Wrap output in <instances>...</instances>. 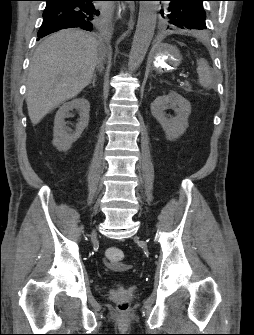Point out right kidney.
<instances>
[{"label": "right kidney", "instance_id": "right-kidney-1", "mask_svg": "<svg viewBox=\"0 0 254 335\" xmlns=\"http://www.w3.org/2000/svg\"><path fill=\"white\" fill-rule=\"evenodd\" d=\"M76 109L79 113V120L76 124V130L72 132L65 122V117L70 111ZM90 103L85 98H77L70 102L64 103L57 111L54 128H53V141L52 144L57 147L59 151H67L71 148L72 144L77 141L81 133L88 126L89 123Z\"/></svg>", "mask_w": 254, "mask_h": 335}]
</instances>
